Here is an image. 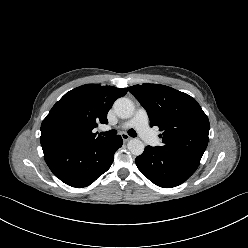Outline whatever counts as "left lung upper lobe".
<instances>
[{"mask_svg":"<svg viewBox=\"0 0 248 248\" xmlns=\"http://www.w3.org/2000/svg\"><path fill=\"white\" fill-rule=\"evenodd\" d=\"M146 109L150 126L163 133L159 150L201 160L208 144L209 120L194 98L171 87L142 84L128 87Z\"/></svg>","mask_w":248,"mask_h":248,"instance_id":"5c2ea615","label":"left lung upper lobe"}]
</instances>
